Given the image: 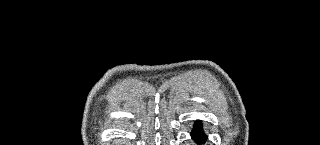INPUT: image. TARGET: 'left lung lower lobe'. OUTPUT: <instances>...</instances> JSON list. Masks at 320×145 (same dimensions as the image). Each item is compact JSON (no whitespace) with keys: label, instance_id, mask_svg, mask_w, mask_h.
Listing matches in <instances>:
<instances>
[{"label":"left lung lower lobe","instance_id":"0a47b994","mask_svg":"<svg viewBox=\"0 0 320 145\" xmlns=\"http://www.w3.org/2000/svg\"><path fill=\"white\" fill-rule=\"evenodd\" d=\"M191 136L198 143H201V142L206 140V135L204 134L201 125H198V126L194 127Z\"/></svg>","mask_w":320,"mask_h":145}]
</instances>
